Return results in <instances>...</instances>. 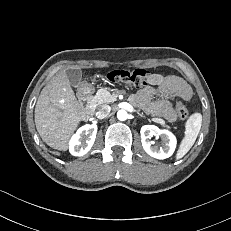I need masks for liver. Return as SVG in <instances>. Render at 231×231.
<instances>
[{"mask_svg":"<svg viewBox=\"0 0 231 231\" xmlns=\"http://www.w3.org/2000/svg\"><path fill=\"white\" fill-rule=\"evenodd\" d=\"M34 118L36 129L48 146L59 151L68 149L72 134L86 120L87 113L77 101L65 70L42 89Z\"/></svg>","mask_w":231,"mask_h":231,"instance_id":"1","label":"liver"}]
</instances>
